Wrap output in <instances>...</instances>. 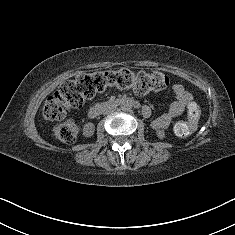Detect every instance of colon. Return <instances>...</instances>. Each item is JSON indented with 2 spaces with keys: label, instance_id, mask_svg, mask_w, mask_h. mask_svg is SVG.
Masks as SVG:
<instances>
[{
  "label": "colon",
  "instance_id": "obj_1",
  "mask_svg": "<svg viewBox=\"0 0 235 235\" xmlns=\"http://www.w3.org/2000/svg\"><path fill=\"white\" fill-rule=\"evenodd\" d=\"M169 84V78L162 72H139L134 74L128 69L95 71L82 73L64 82L43 106V116L47 120H62L66 112L80 108L86 100L109 88H132L139 94L161 91ZM189 122L177 123L174 130L179 136L190 134L199 118V108L195 103L187 106ZM53 133L62 142L72 143L78 135V126L73 120H66L54 126Z\"/></svg>",
  "mask_w": 235,
  "mask_h": 235
}]
</instances>
